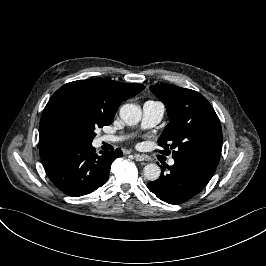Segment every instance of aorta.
Here are the masks:
<instances>
[{"mask_svg": "<svg viewBox=\"0 0 266 266\" xmlns=\"http://www.w3.org/2000/svg\"><path fill=\"white\" fill-rule=\"evenodd\" d=\"M120 118L126 125L133 126L140 122L142 111L140 106L125 104L120 109ZM144 177L149 181H155L160 177L161 169L155 163L147 164L143 169Z\"/></svg>", "mask_w": 266, "mask_h": 266, "instance_id": "aorta-1", "label": "aorta"}]
</instances>
